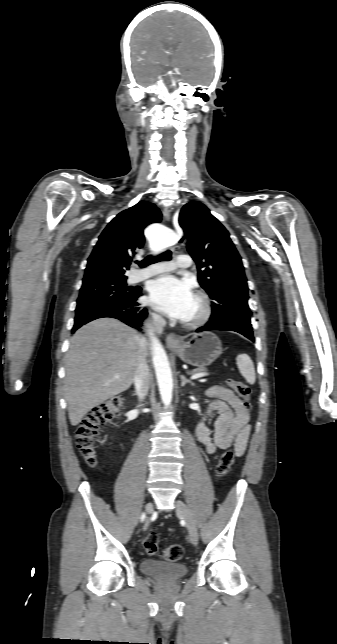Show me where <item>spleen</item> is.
Returning <instances> with one entry per match:
<instances>
[{"label":"spleen","instance_id":"1","mask_svg":"<svg viewBox=\"0 0 337 644\" xmlns=\"http://www.w3.org/2000/svg\"><path fill=\"white\" fill-rule=\"evenodd\" d=\"M240 374L245 378L247 383L253 385L256 381L254 364L247 354H239L236 358Z\"/></svg>","mask_w":337,"mask_h":644}]
</instances>
